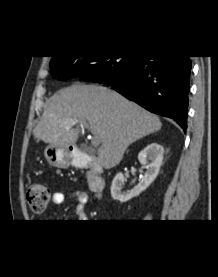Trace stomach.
Returning <instances> with one entry per match:
<instances>
[{
	"mask_svg": "<svg viewBox=\"0 0 218 277\" xmlns=\"http://www.w3.org/2000/svg\"><path fill=\"white\" fill-rule=\"evenodd\" d=\"M44 156L51 166L67 168L70 164V155L66 147L48 146L44 150Z\"/></svg>",
	"mask_w": 218,
	"mask_h": 277,
	"instance_id": "stomach-1",
	"label": "stomach"
}]
</instances>
